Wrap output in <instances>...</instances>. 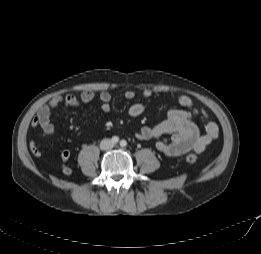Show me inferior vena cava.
<instances>
[{
	"label": "inferior vena cava",
	"mask_w": 261,
	"mask_h": 254,
	"mask_svg": "<svg viewBox=\"0 0 261 254\" xmlns=\"http://www.w3.org/2000/svg\"><path fill=\"white\" fill-rule=\"evenodd\" d=\"M114 147V143L110 139H103L100 143V148L102 150H109Z\"/></svg>",
	"instance_id": "602c4592"
}]
</instances>
